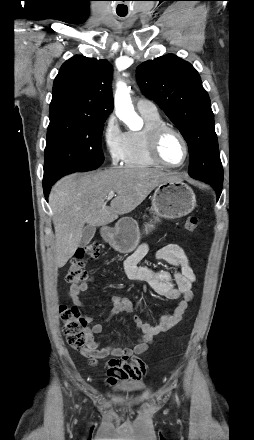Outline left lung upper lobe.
<instances>
[{
    "instance_id": "5c2ea615",
    "label": "left lung upper lobe",
    "mask_w": 254,
    "mask_h": 440,
    "mask_svg": "<svg viewBox=\"0 0 254 440\" xmlns=\"http://www.w3.org/2000/svg\"><path fill=\"white\" fill-rule=\"evenodd\" d=\"M137 80L179 129L189 147L188 174L210 183L218 193L223 169L210 99L194 67L173 54L140 64Z\"/></svg>"
}]
</instances>
